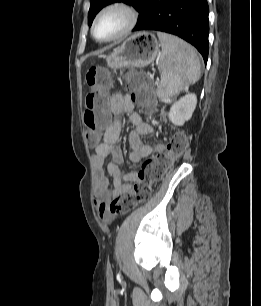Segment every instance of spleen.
I'll use <instances>...</instances> for the list:
<instances>
[{
  "instance_id": "obj_1",
  "label": "spleen",
  "mask_w": 261,
  "mask_h": 306,
  "mask_svg": "<svg viewBox=\"0 0 261 306\" xmlns=\"http://www.w3.org/2000/svg\"><path fill=\"white\" fill-rule=\"evenodd\" d=\"M162 52L158 69L161 81L157 88L160 98H170L198 81L200 78V61L194 49L185 41L158 32Z\"/></svg>"
}]
</instances>
